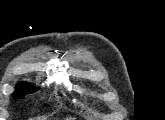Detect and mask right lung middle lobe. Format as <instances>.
<instances>
[{
  "label": "right lung middle lobe",
  "instance_id": "right-lung-middle-lobe-1",
  "mask_svg": "<svg viewBox=\"0 0 165 120\" xmlns=\"http://www.w3.org/2000/svg\"><path fill=\"white\" fill-rule=\"evenodd\" d=\"M36 91V89L25 82H20L16 86V91L13 93V97L15 98H23L27 94H32Z\"/></svg>",
  "mask_w": 165,
  "mask_h": 120
}]
</instances>
